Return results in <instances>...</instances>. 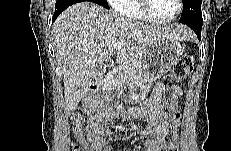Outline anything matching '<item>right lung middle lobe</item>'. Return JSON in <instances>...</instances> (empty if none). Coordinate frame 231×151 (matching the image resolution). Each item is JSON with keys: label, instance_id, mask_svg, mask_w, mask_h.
Returning a JSON list of instances; mask_svg holds the SVG:
<instances>
[{"label": "right lung middle lobe", "instance_id": "obj_1", "mask_svg": "<svg viewBox=\"0 0 231 151\" xmlns=\"http://www.w3.org/2000/svg\"><path fill=\"white\" fill-rule=\"evenodd\" d=\"M94 1L95 3L103 6L104 8H107V9L109 8L106 0H94Z\"/></svg>", "mask_w": 231, "mask_h": 151}]
</instances>
